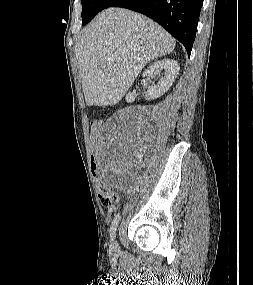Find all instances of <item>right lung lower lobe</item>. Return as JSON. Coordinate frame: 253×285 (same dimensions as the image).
I'll return each instance as SVG.
<instances>
[{
  "label": "right lung lower lobe",
  "instance_id": "1",
  "mask_svg": "<svg viewBox=\"0 0 253 285\" xmlns=\"http://www.w3.org/2000/svg\"><path fill=\"white\" fill-rule=\"evenodd\" d=\"M203 0H116L110 7L127 8L158 22L191 54Z\"/></svg>",
  "mask_w": 253,
  "mask_h": 285
}]
</instances>
